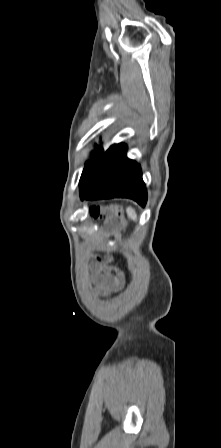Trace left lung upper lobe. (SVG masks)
I'll return each instance as SVG.
<instances>
[{
  "label": "left lung upper lobe",
  "mask_w": 221,
  "mask_h": 448,
  "mask_svg": "<svg viewBox=\"0 0 221 448\" xmlns=\"http://www.w3.org/2000/svg\"><path fill=\"white\" fill-rule=\"evenodd\" d=\"M120 145V144H119ZM119 145H116V144H114V145H112L107 151H110V150H113V149H115V148H117ZM107 151H104L101 147H97V150H96V155H95V157H93L87 164H86V167H88V166H90V165H92V164H94L95 162H97ZM93 153V152H92Z\"/></svg>",
  "instance_id": "5c2ea615"
}]
</instances>
